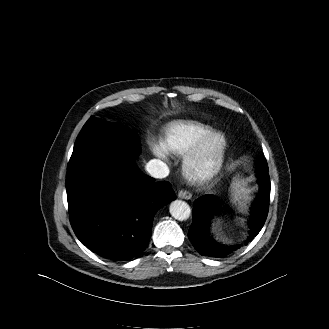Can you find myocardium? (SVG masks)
Instances as JSON below:
<instances>
[{
  "label": "myocardium",
  "mask_w": 329,
  "mask_h": 329,
  "mask_svg": "<svg viewBox=\"0 0 329 329\" xmlns=\"http://www.w3.org/2000/svg\"><path fill=\"white\" fill-rule=\"evenodd\" d=\"M216 142V158L205 168H200L199 160L207 147ZM228 149L226 136L220 131H212L198 140L184 155L182 169L185 177L194 184H204L215 178L222 170Z\"/></svg>",
  "instance_id": "f54148a6"
}]
</instances>
